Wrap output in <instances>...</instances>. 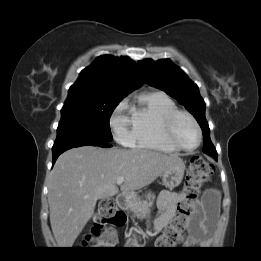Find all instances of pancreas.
<instances>
[{"instance_id":"cf45deb5","label":"pancreas","mask_w":261,"mask_h":261,"mask_svg":"<svg viewBox=\"0 0 261 261\" xmlns=\"http://www.w3.org/2000/svg\"><path fill=\"white\" fill-rule=\"evenodd\" d=\"M155 196L148 194L146 196V200H141L140 198H133L129 204L128 208L129 210L133 213L135 217L138 219L144 218L146 214L150 212V207L153 206ZM130 242H134L135 244L137 243V238L135 235H133V239H129Z\"/></svg>"}]
</instances>
